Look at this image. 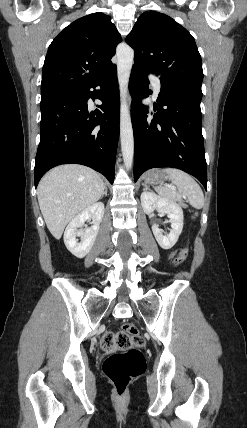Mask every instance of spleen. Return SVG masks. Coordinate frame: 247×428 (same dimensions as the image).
I'll list each match as a JSON object with an SVG mask.
<instances>
[{
    "label": "spleen",
    "mask_w": 247,
    "mask_h": 428,
    "mask_svg": "<svg viewBox=\"0 0 247 428\" xmlns=\"http://www.w3.org/2000/svg\"><path fill=\"white\" fill-rule=\"evenodd\" d=\"M168 174L173 184L178 190L167 186H158L156 191L164 198L172 201H182L187 199L190 205L196 209H201L204 206V195L198 183L187 173L176 169L167 168L164 170Z\"/></svg>",
    "instance_id": "1"
}]
</instances>
